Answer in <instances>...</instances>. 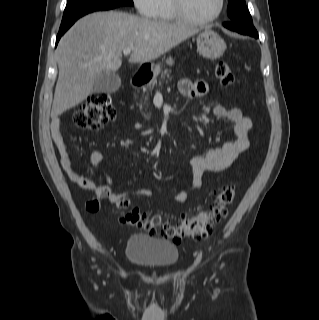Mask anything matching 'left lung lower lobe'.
Returning a JSON list of instances; mask_svg holds the SVG:
<instances>
[{"instance_id":"1","label":"left lung lower lobe","mask_w":319,"mask_h":320,"mask_svg":"<svg viewBox=\"0 0 319 320\" xmlns=\"http://www.w3.org/2000/svg\"><path fill=\"white\" fill-rule=\"evenodd\" d=\"M226 28L236 31L241 34L250 35L252 37L258 38V33L254 27H248L241 24H235V23H224L223 24Z\"/></svg>"}]
</instances>
